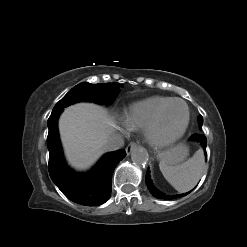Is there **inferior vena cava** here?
Returning <instances> with one entry per match:
<instances>
[{"mask_svg":"<svg viewBox=\"0 0 247 247\" xmlns=\"http://www.w3.org/2000/svg\"><path fill=\"white\" fill-rule=\"evenodd\" d=\"M124 146V140L120 136H114L105 145L106 151H115Z\"/></svg>","mask_w":247,"mask_h":247,"instance_id":"obj_1","label":"inferior vena cava"}]
</instances>
